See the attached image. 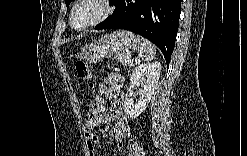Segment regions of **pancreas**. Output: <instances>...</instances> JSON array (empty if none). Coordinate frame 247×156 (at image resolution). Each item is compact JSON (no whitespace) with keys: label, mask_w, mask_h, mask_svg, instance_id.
<instances>
[{"label":"pancreas","mask_w":247,"mask_h":156,"mask_svg":"<svg viewBox=\"0 0 247 156\" xmlns=\"http://www.w3.org/2000/svg\"><path fill=\"white\" fill-rule=\"evenodd\" d=\"M117 59L120 61V63H122L123 65H128L129 64V60L131 59V57L129 55H125V54H121L118 53L117 54Z\"/></svg>","instance_id":"obj_1"}]
</instances>
